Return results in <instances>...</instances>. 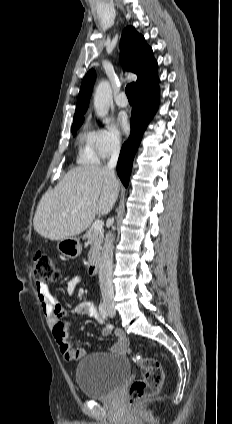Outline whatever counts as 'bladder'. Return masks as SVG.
Returning <instances> with one entry per match:
<instances>
[{
    "instance_id": "bladder-1",
    "label": "bladder",
    "mask_w": 232,
    "mask_h": 424,
    "mask_svg": "<svg viewBox=\"0 0 232 424\" xmlns=\"http://www.w3.org/2000/svg\"><path fill=\"white\" fill-rule=\"evenodd\" d=\"M130 375L131 365L127 358L93 353L77 365L75 379L84 397L105 399L113 395Z\"/></svg>"
}]
</instances>
